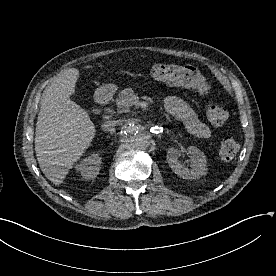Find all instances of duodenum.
Listing matches in <instances>:
<instances>
[{"mask_svg": "<svg viewBox=\"0 0 276 276\" xmlns=\"http://www.w3.org/2000/svg\"><path fill=\"white\" fill-rule=\"evenodd\" d=\"M111 99V93L106 90H101L96 95V101L99 105H107Z\"/></svg>", "mask_w": 276, "mask_h": 276, "instance_id": "obj_1", "label": "duodenum"}]
</instances>
